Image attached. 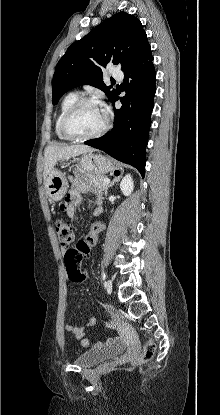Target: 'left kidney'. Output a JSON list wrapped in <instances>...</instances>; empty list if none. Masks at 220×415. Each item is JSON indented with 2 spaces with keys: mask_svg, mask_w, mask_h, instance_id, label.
Listing matches in <instances>:
<instances>
[{
  "mask_svg": "<svg viewBox=\"0 0 220 415\" xmlns=\"http://www.w3.org/2000/svg\"><path fill=\"white\" fill-rule=\"evenodd\" d=\"M120 189L125 196H129L133 189L134 183L130 174H127L120 183Z\"/></svg>",
  "mask_w": 220,
  "mask_h": 415,
  "instance_id": "1",
  "label": "left kidney"
}]
</instances>
